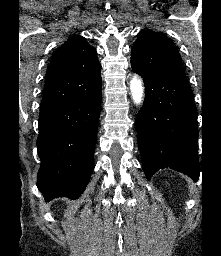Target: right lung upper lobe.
<instances>
[{
  "mask_svg": "<svg viewBox=\"0 0 221 256\" xmlns=\"http://www.w3.org/2000/svg\"><path fill=\"white\" fill-rule=\"evenodd\" d=\"M96 50L79 35L54 52L48 66L40 110L50 109L101 88Z\"/></svg>",
  "mask_w": 221,
  "mask_h": 256,
  "instance_id": "obj_1",
  "label": "right lung upper lobe"
}]
</instances>
